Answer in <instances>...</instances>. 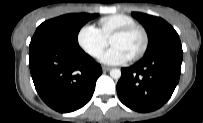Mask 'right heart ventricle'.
I'll return each instance as SVG.
<instances>
[{"mask_svg":"<svg viewBox=\"0 0 203 123\" xmlns=\"http://www.w3.org/2000/svg\"><path fill=\"white\" fill-rule=\"evenodd\" d=\"M135 24L136 21L132 17L125 14H113L105 16L99 21L100 30L107 39H110L111 35L116 30Z\"/></svg>","mask_w":203,"mask_h":123,"instance_id":"right-heart-ventricle-1","label":"right heart ventricle"}]
</instances>
